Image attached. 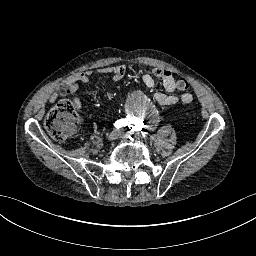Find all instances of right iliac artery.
Listing matches in <instances>:
<instances>
[{"mask_svg":"<svg viewBox=\"0 0 256 256\" xmlns=\"http://www.w3.org/2000/svg\"><path fill=\"white\" fill-rule=\"evenodd\" d=\"M127 125V120L126 119H119L115 122L114 126L119 129L121 127H125Z\"/></svg>","mask_w":256,"mask_h":256,"instance_id":"1","label":"right iliac artery"}]
</instances>
